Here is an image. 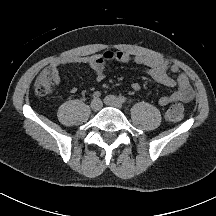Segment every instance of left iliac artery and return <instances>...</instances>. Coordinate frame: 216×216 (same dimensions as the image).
Returning a JSON list of instances; mask_svg holds the SVG:
<instances>
[{"instance_id": "44dca946", "label": "left iliac artery", "mask_w": 216, "mask_h": 216, "mask_svg": "<svg viewBox=\"0 0 216 216\" xmlns=\"http://www.w3.org/2000/svg\"><path fill=\"white\" fill-rule=\"evenodd\" d=\"M119 100L121 101V103H125L127 101L126 97L124 96H120Z\"/></svg>"}]
</instances>
